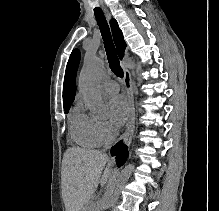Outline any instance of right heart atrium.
<instances>
[{"mask_svg": "<svg viewBox=\"0 0 219 211\" xmlns=\"http://www.w3.org/2000/svg\"><path fill=\"white\" fill-rule=\"evenodd\" d=\"M96 130L100 140V144L105 146L112 144L115 139L116 133L112 125L108 121L97 120Z\"/></svg>", "mask_w": 219, "mask_h": 211, "instance_id": "1", "label": "right heart atrium"}]
</instances>
